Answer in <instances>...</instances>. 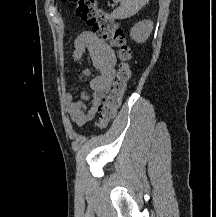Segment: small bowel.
Returning <instances> with one entry per match:
<instances>
[{
	"label": "small bowel",
	"mask_w": 216,
	"mask_h": 217,
	"mask_svg": "<svg viewBox=\"0 0 216 217\" xmlns=\"http://www.w3.org/2000/svg\"><path fill=\"white\" fill-rule=\"evenodd\" d=\"M72 57L78 64H82L88 57L98 71L97 76L91 77V69L83 67L78 75L80 80L90 79L92 95L85 89H80L76 101L73 100L72 92L68 91L64 95L66 109L72 122L82 127L96 117L102 100L110 90L115 77L116 57L112 48L92 31H84L78 35Z\"/></svg>",
	"instance_id": "obj_1"
}]
</instances>
